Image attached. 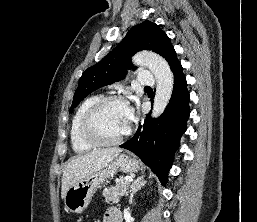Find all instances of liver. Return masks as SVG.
Returning a JSON list of instances; mask_svg holds the SVG:
<instances>
[{
	"mask_svg": "<svg viewBox=\"0 0 257 222\" xmlns=\"http://www.w3.org/2000/svg\"><path fill=\"white\" fill-rule=\"evenodd\" d=\"M120 152L119 148H108L70 159L63 171L61 197L64 199L72 185L108 165Z\"/></svg>",
	"mask_w": 257,
	"mask_h": 222,
	"instance_id": "6515ba94",
	"label": "liver"
}]
</instances>
